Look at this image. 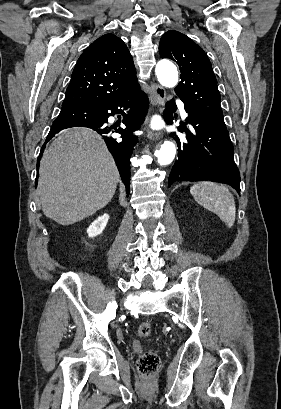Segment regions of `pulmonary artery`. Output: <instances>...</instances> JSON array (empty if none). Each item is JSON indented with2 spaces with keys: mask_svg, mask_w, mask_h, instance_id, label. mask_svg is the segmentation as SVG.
<instances>
[{
  "mask_svg": "<svg viewBox=\"0 0 281 409\" xmlns=\"http://www.w3.org/2000/svg\"><path fill=\"white\" fill-rule=\"evenodd\" d=\"M180 110H181L182 116H183V117H187V112H186V110H185V108H184L183 105L180 106Z\"/></svg>",
  "mask_w": 281,
  "mask_h": 409,
  "instance_id": "1",
  "label": "pulmonary artery"
}]
</instances>
